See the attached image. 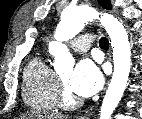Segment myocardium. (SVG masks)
I'll return each mask as SVG.
<instances>
[{
    "label": "myocardium",
    "mask_w": 142,
    "mask_h": 119,
    "mask_svg": "<svg viewBox=\"0 0 142 119\" xmlns=\"http://www.w3.org/2000/svg\"><path fill=\"white\" fill-rule=\"evenodd\" d=\"M57 104L66 109L76 108L80 104V100L69 91L62 79H58Z\"/></svg>",
    "instance_id": "myocardium-1"
}]
</instances>
